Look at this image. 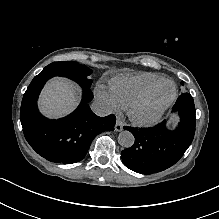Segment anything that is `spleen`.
Returning a JSON list of instances; mask_svg holds the SVG:
<instances>
[{
    "label": "spleen",
    "mask_w": 219,
    "mask_h": 219,
    "mask_svg": "<svg viewBox=\"0 0 219 219\" xmlns=\"http://www.w3.org/2000/svg\"><path fill=\"white\" fill-rule=\"evenodd\" d=\"M180 121H181V114L180 113H176L175 117L173 118V124H172L171 132H174L175 130L178 129Z\"/></svg>",
    "instance_id": "3e777b00"
}]
</instances>
